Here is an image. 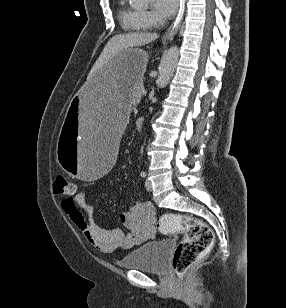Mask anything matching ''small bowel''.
<instances>
[{"label":"small bowel","mask_w":286,"mask_h":308,"mask_svg":"<svg viewBox=\"0 0 286 308\" xmlns=\"http://www.w3.org/2000/svg\"><path fill=\"white\" fill-rule=\"evenodd\" d=\"M61 207L87 242L102 252L130 249L155 234V210L148 201L136 200L120 213L119 219L127 233L120 228L103 229L94 222L86 191L64 198ZM81 210H85L86 215Z\"/></svg>","instance_id":"small-bowel-1"}]
</instances>
